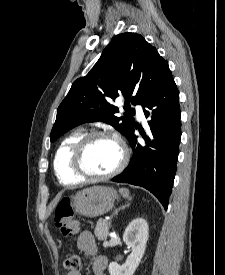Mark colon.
Here are the masks:
<instances>
[{"mask_svg":"<svg viewBox=\"0 0 225 275\" xmlns=\"http://www.w3.org/2000/svg\"><path fill=\"white\" fill-rule=\"evenodd\" d=\"M54 221L56 227L65 237H73L79 231V224L73 218V208L69 198H62L55 207ZM64 268L68 271H79L81 269V260L78 256L72 255L65 259Z\"/></svg>","mask_w":225,"mask_h":275,"instance_id":"colon-1","label":"colon"}]
</instances>
